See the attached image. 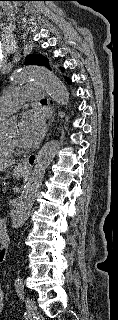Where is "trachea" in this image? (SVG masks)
Listing matches in <instances>:
<instances>
[{"label": "trachea", "instance_id": "1", "mask_svg": "<svg viewBox=\"0 0 118 320\" xmlns=\"http://www.w3.org/2000/svg\"><path fill=\"white\" fill-rule=\"evenodd\" d=\"M41 102H42V103H45V102H47V100H46V99H43Z\"/></svg>", "mask_w": 118, "mask_h": 320}]
</instances>
